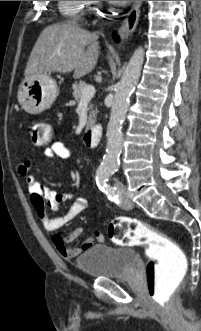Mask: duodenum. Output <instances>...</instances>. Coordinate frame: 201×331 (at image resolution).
<instances>
[{
    "label": "duodenum",
    "mask_w": 201,
    "mask_h": 331,
    "mask_svg": "<svg viewBox=\"0 0 201 331\" xmlns=\"http://www.w3.org/2000/svg\"><path fill=\"white\" fill-rule=\"evenodd\" d=\"M101 138L102 127L99 124L91 125L83 134L85 144L92 148H95L100 144Z\"/></svg>",
    "instance_id": "duodenum-1"
}]
</instances>
